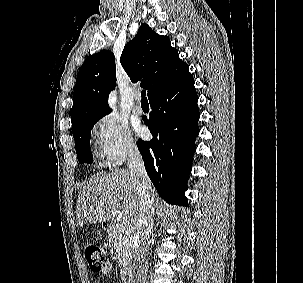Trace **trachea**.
<instances>
[{
  "instance_id": "3493384b",
  "label": "trachea",
  "mask_w": 303,
  "mask_h": 283,
  "mask_svg": "<svg viewBox=\"0 0 303 283\" xmlns=\"http://www.w3.org/2000/svg\"><path fill=\"white\" fill-rule=\"evenodd\" d=\"M141 97H142L141 101H147V98H146V90H142V92H141Z\"/></svg>"
}]
</instances>
